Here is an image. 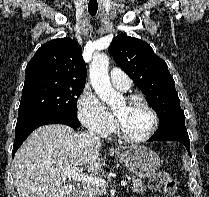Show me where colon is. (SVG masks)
<instances>
[{
	"instance_id": "obj_1",
	"label": "colon",
	"mask_w": 209,
	"mask_h": 197,
	"mask_svg": "<svg viewBox=\"0 0 209 197\" xmlns=\"http://www.w3.org/2000/svg\"><path fill=\"white\" fill-rule=\"evenodd\" d=\"M149 186L152 190L162 189L168 196L182 197L177 193L175 180L165 172L156 173L150 180Z\"/></svg>"
}]
</instances>
